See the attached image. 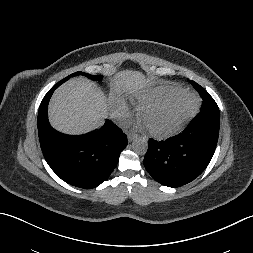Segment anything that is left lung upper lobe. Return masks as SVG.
I'll list each match as a JSON object with an SVG mask.
<instances>
[{
  "label": "left lung upper lobe",
  "mask_w": 253,
  "mask_h": 253,
  "mask_svg": "<svg viewBox=\"0 0 253 253\" xmlns=\"http://www.w3.org/2000/svg\"><path fill=\"white\" fill-rule=\"evenodd\" d=\"M191 83L203 97L201 111L219 112L218 106L214 99L210 96V94L207 93L206 90L200 85H198L196 82L191 81Z\"/></svg>",
  "instance_id": "obj_1"
}]
</instances>
